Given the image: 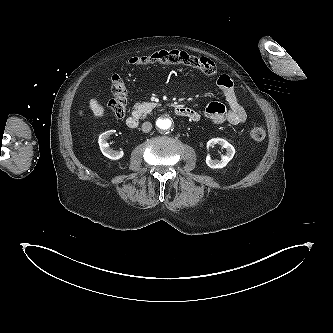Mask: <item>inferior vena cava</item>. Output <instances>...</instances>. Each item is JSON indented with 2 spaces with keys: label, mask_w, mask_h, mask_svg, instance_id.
Returning <instances> with one entry per match:
<instances>
[{
  "label": "inferior vena cava",
  "mask_w": 333,
  "mask_h": 333,
  "mask_svg": "<svg viewBox=\"0 0 333 333\" xmlns=\"http://www.w3.org/2000/svg\"><path fill=\"white\" fill-rule=\"evenodd\" d=\"M152 129V124L150 122H144L142 124V131L145 132V133H148L150 132Z\"/></svg>",
  "instance_id": "1"
}]
</instances>
